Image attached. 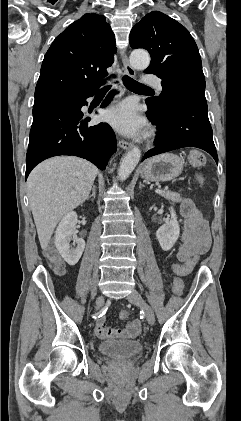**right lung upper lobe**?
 Segmentation results:
<instances>
[{
    "instance_id": "obj_1",
    "label": "right lung upper lobe",
    "mask_w": 241,
    "mask_h": 421,
    "mask_svg": "<svg viewBox=\"0 0 241 421\" xmlns=\"http://www.w3.org/2000/svg\"><path fill=\"white\" fill-rule=\"evenodd\" d=\"M115 38L102 15L85 14L68 26L45 54L35 103L99 87L114 62ZM34 103V104H35Z\"/></svg>"
}]
</instances>
